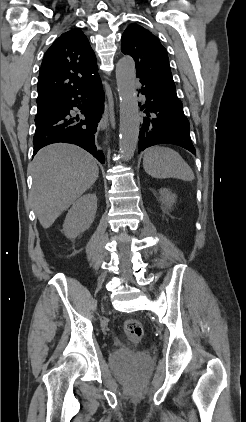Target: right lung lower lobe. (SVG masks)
I'll list each match as a JSON object with an SVG mask.
<instances>
[{"mask_svg": "<svg viewBox=\"0 0 246 422\" xmlns=\"http://www.w3.org/2000/svg\"><path fill=\"white\" fill-rule=\"evenodd\" d=\"M76 106L85 119L70 114ZM42 112L35 117L33 155L48 144L66 142L84 148L104 163V155L95 143L97 126L104 112V92L99 75L86 87L51 103Z\"/></svg>", "mask_w": 246, "mask_h": 422, "instance_id": "1", "label": "right lung lower lobe"}]
</instances>
